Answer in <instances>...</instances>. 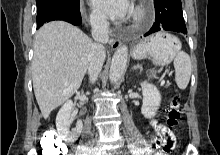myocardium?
<instances>
[{
	"instance_id": "myocardium-1",
	"label": "myocardium",
	"mask_w": 220,
	"mask_h": 155,
	"mask_svg": "<svg viewBox=\"0 0 220 155\" xmlns=\"http://www.w3.org/2000/svg\"><path fill=\"white\" fill-rule=\"evenodd\" d=\"M147 14V8L143 4L138 5L133 16V22L135 24L142 23L146 19Z\"/></svg>"
}]
</instances>
